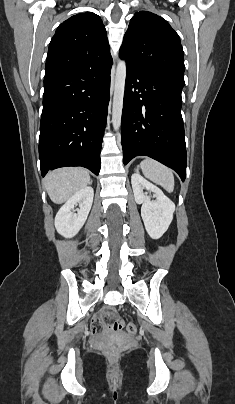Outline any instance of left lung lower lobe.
I'll return each mask as SVG.
<instances>
[{
	"mask_svg": "<svg viewBox=\"0 0 235 404\" xmlns=\"http://www.w3.org/2000/svg\"><path fill=\"white\" fill-rule=\"evenodd\" d=\"M182 86L127 63L122 112L123 163L149 156L186 177V145L181 115Z\"/></svg>",
	"mask_w": 235,
	"mask_h": 404,
	"instance_id": "left-lung-lower-lobe-1",
	"label": "left lung lower lobe"
}]
</instances>
